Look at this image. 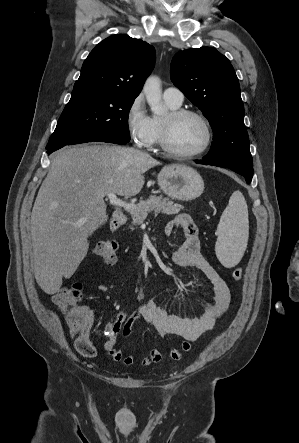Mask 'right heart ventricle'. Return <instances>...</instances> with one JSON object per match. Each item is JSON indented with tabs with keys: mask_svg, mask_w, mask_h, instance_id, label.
Returning a JSON list of instances; mask_svg holds the SVG:
<instances>
[{
	"mask_svg": "<svg viewBox=\"0 0 299 443\" xmlns=\"http://www.w3.org/2000/svg\"><path fill=\"white\" fill-rule=\"evenodd\" d=\"M167 106L170 110H175L180 107V105H174L168 101H166ZM152 124H153V139L148 146V148H154L158 146L159 144V137H160V129H161V119L157 117L152 118Z\"/></svg>",
	"mask_w": 299,
	"mask_h": 443,
	"instance_id": "e07e8e85",
	"label": "right heart ventricle"
}]
</instances>
